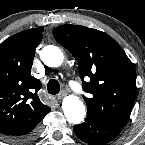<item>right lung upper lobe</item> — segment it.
<instances>
[{
    "label": "right lung upper lobe",
    "mask_w": 145,
    "mask_h": 145,
    "mask_svg": "<svg viewBox=\"0 0 145 145\" xmlns=\"http://www.w3.org/2000/svg\"><path fill=\"white\" fill-rule=\"evenodd\" d=\"M43 30H25L0 44V134L30 128L50 111L37 96L40 81L30 75Z\"/></svg>",
    "instance_id": "cb5924a9"
}]
</instances>
